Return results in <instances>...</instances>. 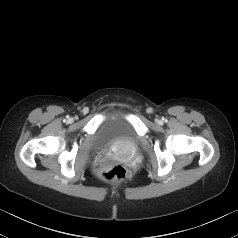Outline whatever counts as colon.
Wrapping results in <instances>:
<instances>
[{"label": "colon", "instance_id": "colon-1", "mask_svg": "<svg viewBox=\"0 0 238 238\" xmlns=\"http://www.w3.org/2000/svg\"><path fill=\"white\" fill-rule=\"evenodd\" d=\"M128 175L127 169L121 164H114L103 168L99 177L104 181L120 182Z\"/></svg>", "mask_w": 238, "mask_h": 238}]
</instances>
